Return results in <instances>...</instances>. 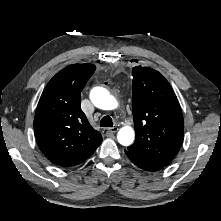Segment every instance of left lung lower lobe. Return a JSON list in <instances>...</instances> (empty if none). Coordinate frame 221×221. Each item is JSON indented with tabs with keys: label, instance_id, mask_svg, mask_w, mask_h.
<instances>
[{
	"label": "left lung lower lobe",
	"instance_id": "0a47b994",
	"mask_svg": "<svg viewBox=\"0 0 221 221\" xmlns=\"http://www.w3.org/2000/svg\"><path fill=\"white\" fill-rule=\"evenodd\" d=\"M126 155L128 158L139 168L147 171H159L163 169L165 166L142 156L133 154L129 152L128 150H125Z\"/></svg>",
	"mask_w": 221,
	"mask_h": 221
}]
</instances>
